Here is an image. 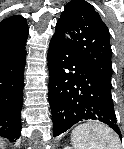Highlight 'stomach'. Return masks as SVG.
<instances>
[{"instance_id": "0dacf381", "label": "stomach", "mask_w": 124, "mask_h": 149, "mask_svg": "<svg viewBox=\"0 0 124 149\" xmlns=\"http://www.w3.org/2000/svg\"><path fill=\"white\" fill-rule=\"evenodd\" d=\"M92 125H93V126H94V125L99 126V124H92ZM100 126H102V125H100ZM102 127H103V126H102Z\"/></svg>"}]
</instances>
